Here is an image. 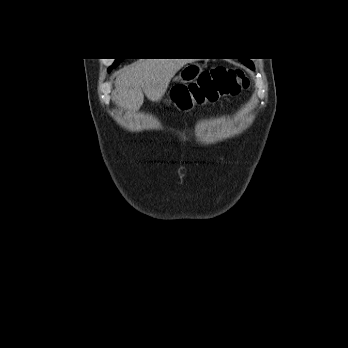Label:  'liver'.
<instances>
[{
  "mask_svg": "<svg viewBox=\"0 0 348 348\" xmlns=\"http://www.w3.org/2000/svg\"><path fill=\"white\" fill-rule=\"evenodd\" d=\"M188 62L187 59H139L118 73L116 100L130 111L142 106L144 93L150 101H160L171 79Z\"/></svg>",
  "mask_w": 348,
  "mask_h": 348,
  "instance_id": "obj_1",
  "label": "liver"
}]
</instances>
